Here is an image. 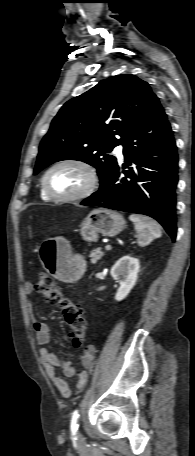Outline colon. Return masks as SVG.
Listing matches in <instances>:
<instances>
[{
    "label": "colon",
    "mask_w": 195,
    "mask_h": 456,
    "mask_svg": "<svg viewBox=\"0 0 195 456\" xmlns=\"http://www.w3.org/2000/svg\"><path fill=\"white\" fill-rule=\"evenodd\" d=\"M34 288L48 302L57 305L61 309L64 319L71 330L73 344L75 347H80L84 342L86 332V321L80 308L62 294L54 280L48 275H41Z\"/></svg>",
    "instance_id": "5ec220e1"
}]
</instances>
